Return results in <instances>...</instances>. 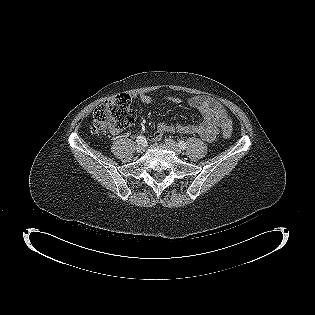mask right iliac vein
Here are the masks:
<instances>
[{
	"instance_id": "right-iliac-vein-1",
	"label": "right iliac vein",
	"mask_w": 315,
	"mask_h": 315,
	"mask_svg": "<svg viewBox=\"0 0 315 315\" xmlns=\"http://www.w3.org/2000/svg\"><path fill=\"white\" fill-rule=\"evenodd\" d=\"M144 150H145V148H144L143 144H138V145L136 146V151H137L138 153H143Z\"/></svg>"
}]
</instances>
